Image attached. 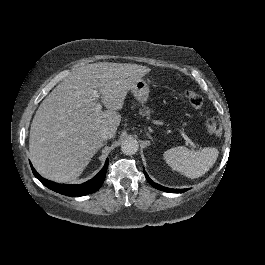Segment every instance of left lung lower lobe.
Segmentation results:
<instances>
[{
  "instance_id": "1",
  "label": "left lung lower lobe",
  "mask_w": 265,
  "mask_h": 265,
  "mask_svg": "<svg viewBox=\"0 0 265 265\" xmlns=\"http://www.w3.org/2000/svg\"><path fill=\"white\" fill-rule=\"evenodd\" d=\"M144 174L146 176L147 181L156 189L165 191V192H170V193H183L185 191H187V189H171V188H167V187H163L155 182H153L149 176L147 175V173L144 171Z\"/></svg>"
}]
</instances>
